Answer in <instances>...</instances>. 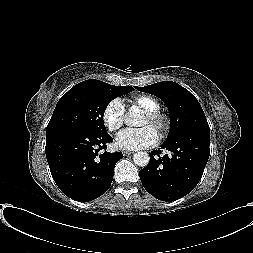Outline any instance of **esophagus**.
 <instances>
[{"label": "esophagus", "mask_w": 253, "mask_h": 253, "mask_svg": "<svg viewBox=\"0 0 253 253\" xmlns=\"http://www.w3.org/2000/svg\"><path fill=\"white\" fill-rule=\"evenodd\" d=\"M123 154H124L125 156H127V155H132V154H134V152H131V151H125Z\"/></svg>", "instance_id": "34e87169"}]
</instances>
